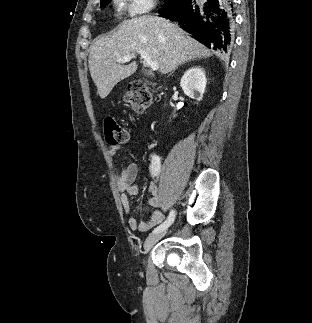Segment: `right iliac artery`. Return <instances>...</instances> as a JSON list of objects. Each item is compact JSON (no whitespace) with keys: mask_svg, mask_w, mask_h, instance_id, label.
<instances>
[{"mask_svg":"<svg viewBox=\"0 0 312 323\" xmlns=\"http://www.w3.org/2000/svg\"><path fill=\"white\" fill-rule=\"evenodd\" d=\"M160 169V159L157 155L152 156L151 160V172L152 175L156 176ZM175 213L173 210L170 211L169 216L165 222L159 225L157 228L154 229L153 233L162 232L166 228H168L174 221Z\"/></svg>","mask_w":312,"mask_h":323,"instance_id":"1","label":"right iliac artery"}]
</instances>
